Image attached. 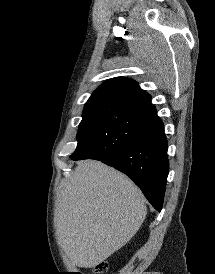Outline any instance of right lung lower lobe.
Here are the masks:
<instances>
[{
	"instance_id": "obj_1",
	"label": "right lung lower lobe",
	"mask_w": 215,
	"mask_h": 274,
	"mask_svg": "<svg viewBox=\"0 0 215 274\" xmlns=\"http://www.w3.org/2000/svg\"><path fill=\"white\" fill-rule=\"evenodd\" d=\"M96 160L125 173L153 207L161 211L169 161L164 126L159 118L114 155Z\"/></svg>"
}]
</instances>
